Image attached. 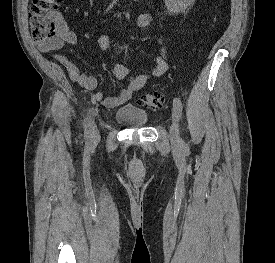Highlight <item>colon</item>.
I'll return each mask as SVG.
<instances>
[{"instance_id": "obj_1", "label": "colon", "mask_w": 275, "mask_h": 263, "mask_svg": "<svg viewBox=\"0 0 275 263\" xmlns=\"http://www.w3.org/2000/svg\"><path fill=\"white\" fill-rule=\"evenodd\" d=\"M62 0H32L30 8V28L32 38L38 45L52 41L58 34L59 21L53 12ZM140 103L147 108H159L164 97L158 93L144 94Z\"/></svg>"}]
</instances>
